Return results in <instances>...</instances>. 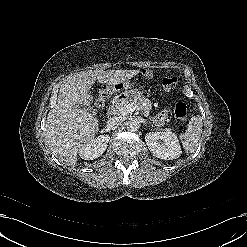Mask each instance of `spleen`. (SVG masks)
<instances>
[{
  "mask_svg": "<svg viewBox=\"0 0 247 247\" xmlns=\"http://www.w3.org/2000/svg\"><path fill=\"white\" fill-rule=\"evenodd\" d=\"M202 127V117L199 115L193 116L189 121L185 133L180 134V139L187 153H193L197 149L202 133Z\"/></svg>",
  "mask_w": 247,
  "mask_h": 247,
  "instance_id": "3e777b00",
  "label": "spleen"
}]
</instances>
